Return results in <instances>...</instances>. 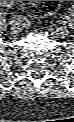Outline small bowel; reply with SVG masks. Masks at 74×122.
Instances as JSON below:
<instances>
[{
  "instance_id": "1",
  "label": "small bowel",
  "mask_w": 74,
  "mask_h": 122,
  "mask_svg": "<svg viewBox=\"0 0 74 122\" xmlns=\"http://www.w3.org/2000/svg\"><path fill=\"white\" fill-rule=\"evenodd\" d=\"M13 2L14 1H1V4L3 5V6H8V7H10V6H12L13 5ZM53 11V10H52ZM51 12V11H50Z\"/></svg>"
}]
</instances>
